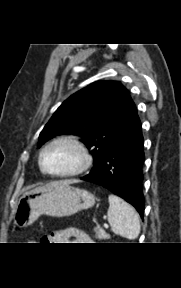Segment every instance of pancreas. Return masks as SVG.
Segmentation results:
<instances>
[{
  "label": "pancreas",
  "mask_w": 181,
  "mask_h": 288,
  "mask_svg": "<svg viewBox=\"0 0 181 288\" xmlns=\"http://www.w3.org/2000/svg\"><path fill=\"white\" fill-rule=\"evenodd\" d=\"M94 231H95V237L97 238V239H104V240H106V239H109V234H107L106 233V231L105 230H103V229H99V228H95L94 229Z\"/></svg>",
  "instance_id": "pancreas-1"
}]
</instances>
